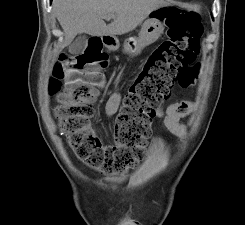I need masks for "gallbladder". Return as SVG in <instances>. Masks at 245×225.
Returning a JSON list of instances; mask_svg holds the SVG:
<instances>
[{"mask_svg":"<svg viewBox=\"0 0 245 225\" xmlns=\"http://www.w3.org/2000/svg\"><path fill=\"white\" fill-rule=\"evenodd\" d=\"M88 45L87 36H78L70 45L69 52L73 55H80Z\"/></svg>","mask_w":245,"mask_h":225,"instance_id":"1","label":"gallbladder"}]
</instances>
